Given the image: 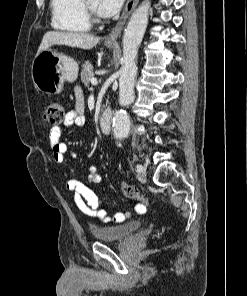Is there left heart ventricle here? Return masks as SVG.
I'll return each mask as SVG.
<instances>
[{
	"label": "left heart ventricle",
	"mask_w": 247,
	"mask_h": 296,
	"mask_svg": "<svg viewBox=\"0 0 247 296\" xmlns=\"http://www.w3.org/2000/svg\"><path fill=\"white\" fill-rule=\"evenodd\" d=\"M88 2L91 7H93L94 9H97L98 4H99V0H88Z\"/></svg>",
	"instance_id": "obj_1"
}]
</instances>
